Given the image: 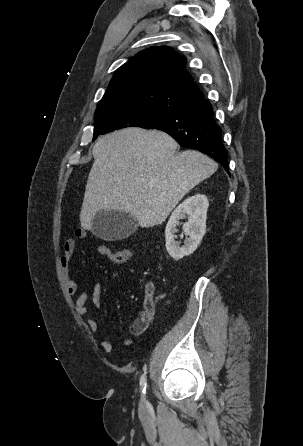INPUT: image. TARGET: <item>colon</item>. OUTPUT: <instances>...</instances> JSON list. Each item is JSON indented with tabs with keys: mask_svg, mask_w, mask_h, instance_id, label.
<instances>
[{
	"mask_svg": "<svg viewBox=\"0 0 303 446\" xmlns=\"http://www.w3.org/2000/svg\"><path fill=\"white\" fill-rule=\"evenodd\" d=\"M113 263L119 264L127 261L133 255V250L126 248L118 251L110 250L106 245L99 252Z\"/></svg>",
	"mask_w": 303,
	"mask_h": 446,
	"instance_id": "1",
	"label": "colon"
}]
</instances>
